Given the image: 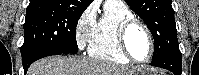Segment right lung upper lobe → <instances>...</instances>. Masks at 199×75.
<instances>
[{"label": "right lung upper lobe", "mask_w": 199, "mask_h": 75, "mask_svg": "<svg viewBox=\"0 0 199 75\" xmlns=\"http://www.w3.org/2000/svg\"><path fill=\"white\" fill-rule=\"evenodd\" d=\"M93 0H30L31 7L63 6L85 10Z\"/></svg>", "instance_id": "right-lung-upper-lobe-1"}]
</instances>
